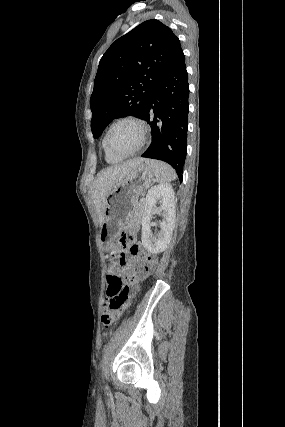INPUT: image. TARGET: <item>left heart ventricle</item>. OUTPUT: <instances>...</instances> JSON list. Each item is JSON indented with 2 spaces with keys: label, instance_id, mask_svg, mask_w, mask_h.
<instances>
[{
  "label": "left heart ventricle",
  "instance_id": "obj_1",
  "mask_svg": "<svg viewBox=\"0 0 285 427\" xmlns=\"http://www.w3.org/2000/svg\"><path fill=\"white\" fill-rule=\"evenodd\" d=\"M140 141L139 128L130 122L114 126L109 134L108 143L112 150L119 153L132 151Z\"/></svg>",
  "mask_w": 285,
  "mask_h": 427
}]
</instances>
